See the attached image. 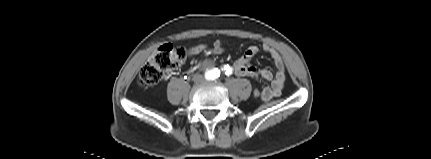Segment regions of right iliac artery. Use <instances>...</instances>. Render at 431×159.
I'll use <instances>...</instances> for the list:
<instances>
[{
    "label": "right iliac artery",
    "mask_w": 431,
    "mask_h": 159,
    "mask_svg": "<svg viewBox=\"0 0 431 159\" xmlns=\"http://www.w3.org/2000/svg\"><path fill=\"white\" fill-rule=\"evenodd\" d=\"M214 73H218V74H219L218 69H214V70H210V71H208V72L206 73V78H207V79H211V77L214 75Z\"/></svg>",
    "instance_id": "82829eb1"
}]
</instances>
